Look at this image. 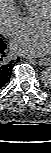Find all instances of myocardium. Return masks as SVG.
<instances>
[{"mask_svg":"<svg viewBox=\"0 0 51 153\" xmlns=\"http://www.w3.org/2000/svg\"><path fill=\"white\" fill-rule=\"evenodd\" d=\"M39 16V17H50L51 18V5L48 6L46 9L40 11L36 17Z\"/></svg>","mask_w":51,"mask_h":153,"instance_id":"1","label":"myocardium"}]
</instances>
